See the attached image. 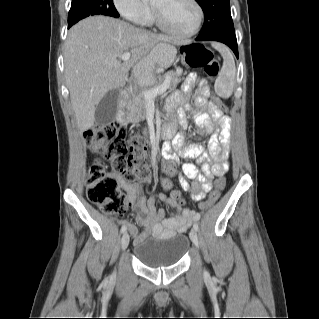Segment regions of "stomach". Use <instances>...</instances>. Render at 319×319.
Masks as SVG:
<instances>
[{
	"instance_id": "0dacf381",
	"label": "stomach",
	"mask_w": 319,
	"mask_h": 319,
	"mask_svg": "<svg viewBox=\"0 0 319 319\" xmlns=\"http://www.w3.org/2000/svg\"><path fill=\"white\" fill-rule=\"evenodd\" d=\"M177 49L170 43L157 44L152 52V61L148 64H139L134 69V75L142 86H151L155 81L153 71L157 67L167 68L175 60Z\"/></svg>"
}]
</instances>
